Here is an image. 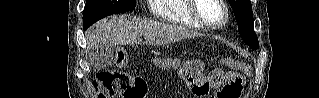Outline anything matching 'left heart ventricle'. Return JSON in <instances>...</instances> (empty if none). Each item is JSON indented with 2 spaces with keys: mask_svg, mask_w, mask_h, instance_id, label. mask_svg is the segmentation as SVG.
Masks as SVG:
<instances>
[{
  "mask_svg": "<svg viewBox=\"0 0 319 98\" xmlns=\"http://www.w3.org/2000/svg\"><path fill=\"white\" fill-rule=\"evenodd\" d=\"M197 11L211 24H219L224 18V10L217 0H200Z\"/></svg>",
  "mask_w": 319,
  "mask_h": 98,
  "instance_id": "1",
  "label": "left heart ventricle"
}]
</instances>
